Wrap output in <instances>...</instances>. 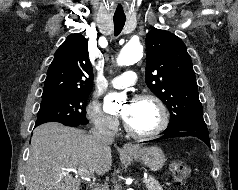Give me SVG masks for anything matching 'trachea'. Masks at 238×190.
<instances>
[{
	"label": "trachea",
	"mask_w": 238,
	"mask_h": 190,
	"mask_svg": "<svg viewBox=\"0 0 238 190\" xmlns=\"http://www.w3.org/2000/svg\"><path fill=\"white\" fill-rule=\"evenodd\" d=\"M126 19L125 18H114V32L115 35L120 34L122 31L124 24H125Z\"/></svg>",
	"instance_id": "obj_1"
}]
</instances>
